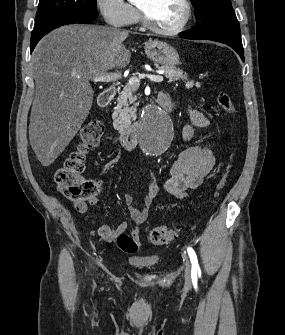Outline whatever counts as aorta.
Listing matches in <instances>:
<instances>
[{
	"label": "aorta",
	"instance_id": "obj_1",
	"mask_svg": "<svg viewBox=\"0 0 285 335\" xmlns=\"http://www.w3.org/2000/svg\"><path fill=\"white\" fill-rule=\"evenodd\" d=\"M143 111L141 125L135 127L140 147H147L146 156H163L166 147H173L176 120L169 119V112H161V105H144Z\"/></svg>",
	"mask_w": 285,
	"mask_h": 335
}]
</instances>
